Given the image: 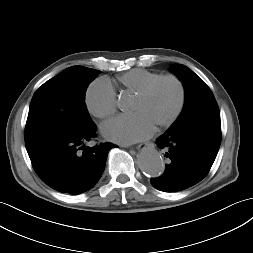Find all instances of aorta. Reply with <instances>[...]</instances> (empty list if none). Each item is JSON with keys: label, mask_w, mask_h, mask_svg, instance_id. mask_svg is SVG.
Returning <instances> with one entry per match:
<instances>
[{"label": "aorta", "mask_w": 253, "mask_h": 253, "mask_svg": "<svg viewBox=\"0 0 253 253\" xmlns=\"http://www.w3.org/2000/svg\"><path fill=\"white\" fill-rule=\"evenodd\" d=\"M125 101L119 102V107L125 108ZM140 170L149 177H159L165 170V164L161 154L152 146H146L138 156Z\"/></svg>", "instance_id": "1"}]
</instances>
